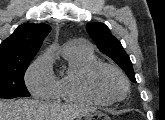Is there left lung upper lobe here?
Returning <instances> with one entry per match:
<instances>
[{
    "mask_svg": "<svg viewBox=\"0 0 165 120\" xmlns=\"http://www.w3.org/2000/svg\"><path fill=\"white\" fill-rule=\"evenodd\" d=\"M86 29L99 50L117 63L131 81L136 83L131 60L120 41L111 34L109 28L103 23L92 22L86 25Z\"/></svg>",
    "mask_w": 165,
    "mask_h": 120,
    "instance_id": "left-lung-upper-lobe-1",
    "label": "left lung upper lobe"
}]
</instances>
